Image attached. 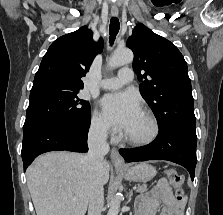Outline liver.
Here are the masks:
<instances>
[{"label":"liver","instance_id":"obj_1","mask_svg":"<svg viewBox=\"0 0 223 215\" xmlns=\"http://www.w3.org/2000/svg\"><path fill=\"white\" fill-rule=\"evenodd\" d=\"M103 183L109 163H103ZM27 185L37 215H85L90 193L89 163L82 153L48 151L29 165ZM77 199H72V197Z\"/></svg>","mask_w":223,"mask_h":215}]
</instances>
